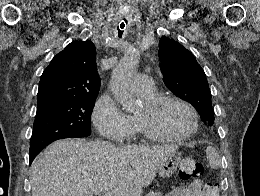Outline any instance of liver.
<instances>
[{"instance_id":"obj_1","label":"liver","mask_w":260,"mask_h":196,"mask_svg":"<svg viewBox=\"0 0 260 196\" xmlns=\"http://www.w3.org/2000/svg\"><path fill=\"white\" fill-rule=\"evenodd\" d=\"M178 146H120L111 142L57 140L30 168L32 196H142L161 160Z\"/></svg>"}]
</instances>
